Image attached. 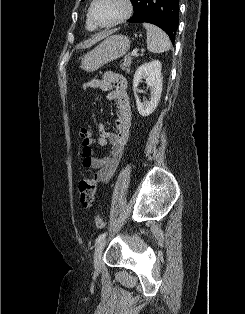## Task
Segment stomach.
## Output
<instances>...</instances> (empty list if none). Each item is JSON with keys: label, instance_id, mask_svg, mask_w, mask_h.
Listing matches in <instances>:
<instances>
[{"label": "stomach", "instance_id": "0dacf381", "mask_svg": "<svg viewBox=\"0 0 245 314\" xmlns=\"http://www.w3.org/2000/svg\"><path fill=\"white\" fill-rule=\"evenodd\" d=\"M130 43V39L125 35L107 37L82 58L81 68L87 72L97 71L105 64L125 55Z\"/></svg>", "mask_w": 245, "mask_h": 314}]
</instances>
